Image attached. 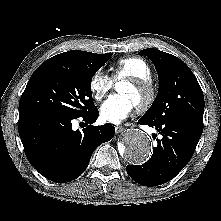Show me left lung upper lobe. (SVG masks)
<instances>
[{"label":"left lung upper lobe","instance_id":"1","mask_svg":"<svg viewBox=\"0 0 221 221\" xmlns=\"http://www.w3.org/2000/svg\"><path fill=\"white\" fill-rule=\"evenodd\" d=\"M155 65L159 91L151 108L142 117L152 124L183 118L203 125L204 96L190 68L178 57L148 48L139 52Z\"/></svg>","mask_w":221,"mask_h":221}]
</instances>
